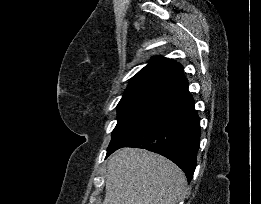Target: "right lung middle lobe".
I'll list each match as a JSON object with an SVG mask.
<instances>
[{"label": "right lung middle lobe", "mask_w": 261, "mask_h": 204, "mask_svg": "<svg viewBox=\"0 0 261 204\" xmlns=\"http://www.w3.org/2000/svg\"><path fill=\"white\" fill-rule=\"evenodd\" d=\"M168 94L155 92H140L123 95L117 105L118 122L112 132V139L108 146L112 148L125 134L140 123Z\"/></svg>", "instance_id": "obj_1"}]
</instances>
